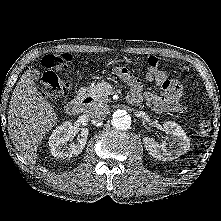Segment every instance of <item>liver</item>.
<instances>
[{
  "label": "liver",
  "mask_w": 221,
  "mask_h": 221,
  "mask_svg": "<svg viewBox=\"0 0 221 221\" xmlns=\"http://www.w3.org/2000/svg\"><path fill=\"white\" fill-rule=\"evenodd\" d=\"M57 114L37 90L31 70L21 76L12 93L8 133L21 156L34 164L43 136L57 123Z\"/></svg>",
  "instance_id": "1"
}]
</instances>
